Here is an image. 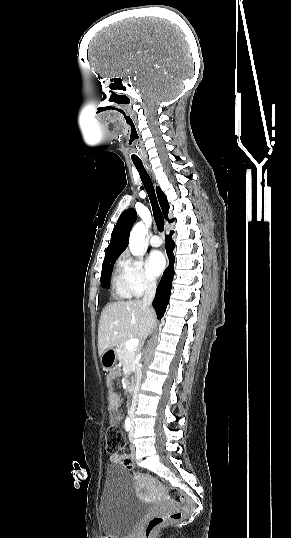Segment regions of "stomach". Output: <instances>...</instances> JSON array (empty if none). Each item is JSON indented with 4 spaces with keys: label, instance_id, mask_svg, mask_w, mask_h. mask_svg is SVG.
I'll return each mask as SVG.
<instances>
[{
    "label": "stomach",
    "instance_id": "stomach-1",
    "mask_svg": "<svg viewBox=\"0 0 291 538\" xmlns=\"http://www.w3.org/2000/svg\"><path fill=\"white\" fill-rule=\"evenodd\" d=\"M117 360L116 350L114 348L107 349L101 355V364L104 368L110 369L113 367Z\"/></svg>",
    "mask_w": 291,
    "mask_h": 538
}]
</instances>
